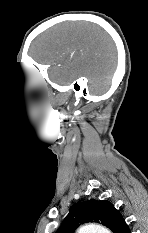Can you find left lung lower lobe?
I'll return each instance as SVG.
<instances>
[{"label": "left lung lower lobe", "instance_id": "0a47b994", "mask_svg": "<svg viewBox=\"0 0 148 233\" xmlns=\"http://www.w3.org/2000/svg\"><path fill=\"white\" fill-rule=\"evenodd\" d=\"M126 233H130V230H128Z\"/></svg>", "mask_w": 148, "mask_h": 233}]
</instances>
